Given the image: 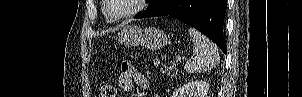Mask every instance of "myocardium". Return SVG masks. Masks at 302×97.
Returning a JSON list of instances; mask_svg holds the SVG:
<instances>
[{"instance_id": "obj_1", "label": "myocardium", "mask_w": 302, "mask_h": 97, "mask_svg": "<svg viewBox=\"0 0 302 97\" xmlns=\"http://www.w3.org/2000/svg\"><path fill=\"white\" fill-rule=\"evenodd\" d=\"M147 0H135V6L128 12L122 14V15H115L110 11L109 7V0H104V13L111 19V20H124L127 18H130L139 12H141L144 9V6L146 4Z\"/></svg>"}]
</instances>
